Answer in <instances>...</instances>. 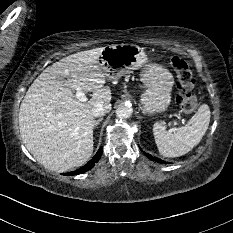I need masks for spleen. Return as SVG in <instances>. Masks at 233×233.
<instances>
[{"mask_svg":"<svg viewBox=\"0 0 233 233\" xmlns=\"http://www.w3.org/2000/svg\"><path fill=\"white\" fill-rule=\"evenodd\" d=\"M210 108L202 104L189 122L177 131L155 123L153 135L159 153L164 157H179L190 152L205 135L210 122Z\"/></svg>","mask_w":233,"mask_h":233,"instance_id":"spleen-1","label":"spleen"}]
</instances>
